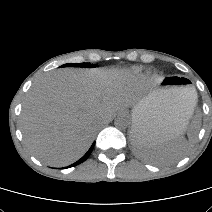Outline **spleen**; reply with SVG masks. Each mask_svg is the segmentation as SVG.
<instances>
[{
	"instance_id": "spleen-1",
	"label": "spleen",
	"mask_w": 212,
	"mask_h": 212,
	"mask_svg": "<svg viewBox=\"0 0 212 212\" xmlns=\"http://www.w3.org/2000/svg\"><path fill=\"white\" fill-rule=\"evenodd\" d=\"M177 97L181 107L185 111V126L187 120L193 115L197 104V92L194 87H185L177 92ZM199 124L196 123L188 132L189 141L183 136L173 139H164L150 135L142 121L135 126V130H140L138 146V156L146 161L155 164H172L180 160L195 141Z\"/></svg>"
}]
</instances>
